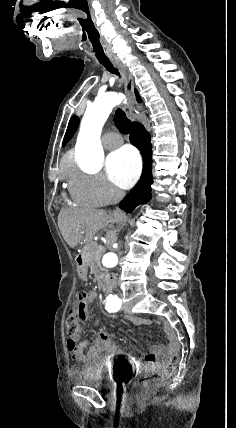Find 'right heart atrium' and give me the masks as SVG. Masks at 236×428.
<instances>
[{"instance_id":"d8ad5b80","label":"right heart atrium","mask_w":236,"mask_h":428,"mask_svg":"<svg viewBox=\"0 0 236 428\" xmlns=\"http://www.w3.org/2000/svg\"><path fill=\"white\" fill-rule=\"evenodd\" d=\"M69 190L81 206H108L122 197V192L103 175H90L74 170L70 174Z\"/></svg>"}]
</instances>
